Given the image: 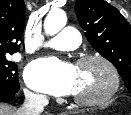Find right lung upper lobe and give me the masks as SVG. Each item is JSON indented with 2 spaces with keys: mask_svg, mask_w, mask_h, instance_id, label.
Wrapping results in <instances>:
<instances>
[{
  "mask_svg": "<svg viewBox=\"0 0 131 115\" xmlns=\"http://www.w3.org/2000/svg\"><path fill=\"white\" fill-rule=\"evenodd\" d=\"M24 23V0H0V53L19 50Z\"/></svg>",
  "mask_w": 131,
  "mask_h": 115,
  "instance_id": "cb5924a9",
  "label": "right lung upper lobe"
}]
</instances>
